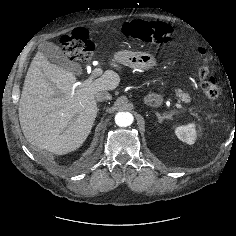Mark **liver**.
Returning a JSON list of instances; mask_svg holds the SVG:
<instances>
[{"mask_svg":"<svg viewBox=\"0 0 236 236\" xmlns=\"http://www.w3.org/2000/svg\"><path fill=\"white\" fill-rule=\"evenodd\" d=\"M110 63L121 71L115 57ZM119 75L107 70L90 83L76 86L75 75L51 64L38 51L27 71L19 101V121L26 139L40 149L62 155L78 149L97 117L95 96L114 90Z\"/></svg>","mask_w":236,"mask_h":236,"instance_id":"obj_1","label":"liver"}]
</instances>
